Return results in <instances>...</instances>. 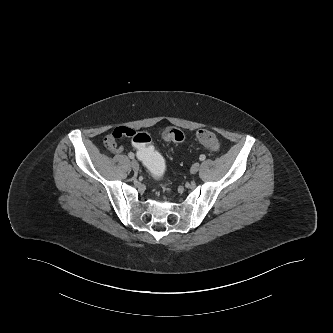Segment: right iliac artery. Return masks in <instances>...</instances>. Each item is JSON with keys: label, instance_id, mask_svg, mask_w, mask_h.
Segmentation results:
<instances>
[{"label": "right iliac artery", "instance_id": "obj_1", "mask_svg": "<svg viewBox=\"0 0 333 333\" xmlns=\"http://www.w3.org/2000/svg\"><path fill=\"white\" fill-rule=\"evenodd\" d=\"M128 156H129L130 159H134V157H135L134 153H132V152H130V153L128 154Z\"/></svg>", "mask_w": 333, "mask_h": 333}]
</instances>
